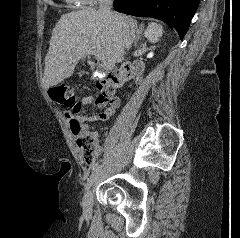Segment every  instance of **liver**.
I'll return each mask as SVG.
<instances>
[{"instance_id": "liver-1", "label": "liver", "mask_w": 240, "mask_h": 238, "mask_svg": "<svg viewBox=\"0 0 240 238\" xmlns=\"http://www.w3.org/2000/svg\"><path fill=\"white\" fill-rule=\"evenodd\" d=\"M115 15L109 18L86 8L61 16L45 56L42 83L46 90L73 74L76 61L84 59L88 46H94L113 65L124 60L126 35L137 22L126 15Z\"/></svg>"}]
</instances>
